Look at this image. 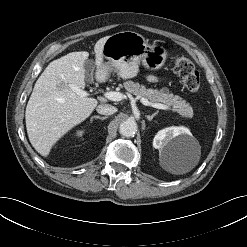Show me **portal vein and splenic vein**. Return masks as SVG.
Instances as JSON below:
<instances>
[{"label": "portal vein and splenic vein", "instance_id": "18ae733b", "mask_svg": "<svg viewBox=\"0 0 247 247\" xmlns=\"http://www.w3.org/2000/svg\"><path fill=\"white\" fill-rule=\"evenodd\" d=\"M72 90L74 92L77 93V95H79L80 97H87L89 94L82 90V89H79L75 86H72ZM103 96L111 101H121L122 99H124L125 95L120 93V92H115V91H108V92H105L103 94ZM141 102L143 105L145 106H151L153 108H157V109H162V110H168L169 107L164 105V104H161V103H151L149 102L147 99L145 98H141Z\"/></svg>", "mask_w": 247, "mask_h": 247}]
</instances>
